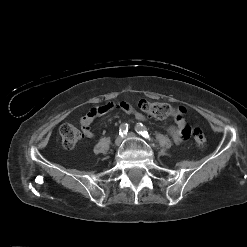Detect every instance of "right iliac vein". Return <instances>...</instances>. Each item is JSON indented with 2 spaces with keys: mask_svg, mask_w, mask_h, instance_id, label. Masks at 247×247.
<instances>
[{
  "mask_svg": "<svg viewBox=\"0 0 247 247\" xmlns=\"http://www.w3.org/2000/svg\"><path fill=\"white\" fill-rule=\"evenodd\" d=\"M122 143V137L121 136H117V138L115 139V145L119 146Z\"/></svg>",
  "mask_w": 247,
  "mask_h": 247,
  "instance_id": "1",
  "label": "right iliac vein"
}]
</instances>
